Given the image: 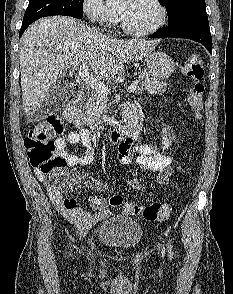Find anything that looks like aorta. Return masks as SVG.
<instances>
[{
    "instance_id": "aorta-1",
    "label": "aorta",
    "mask_w": 233,
    "mask_h": 294,
    "mask_svg": "<svg viewBox=\"0 0 233 294\" xmlns=\"http://www.w3.org/2000/svg\"><path fill=\"white\" fill-rule=\"evenodd\" d=\"M120 0H106V4L107 5H114L116 3H118Z\"/></svg>"
}]
</instances>
